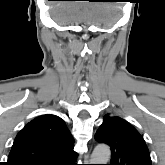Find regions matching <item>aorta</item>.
<instances>
[{
    "mask_svg": "<svg viewBox=\"0 0 165 165\" xmlns=\"http://www.w3.org/2000/svg\"><path fill=\"white\" fill-rule=\"evenodd\" d=\"M111 151L105 144L97 145L91 155V164H107L110 160Z\"/></svg>",
    "mask_w": 165,
    "mask_h": 165,
    "instance_id": "1",
    "label": "aorta"
}]
</instances>
